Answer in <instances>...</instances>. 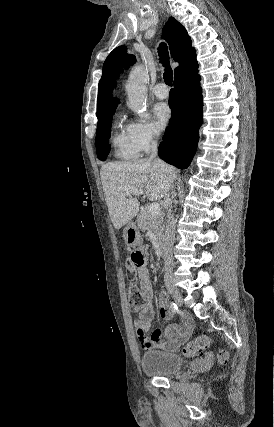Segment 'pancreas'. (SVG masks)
<instances>
[{
	"label": "pancreas",
	"instance_id": "1",
	"mask_svg": "<svg viewBox=\"0 0 274 427\" xmlns=\"http://www.w3.org/2000/svg\"><path fill=\"white\" fill-rule=\"evenodd\" d=\"M164 212L160 210L159 214L151 215L148 212V208H141L140 214L137 217L138 227L141 231H146V229H151L156 237H163V219Z\"/></svg>",
	"mask_w": 274,
	"mask_h": 427
}]
</instances>
